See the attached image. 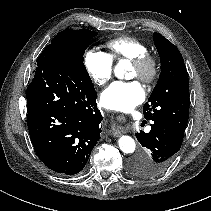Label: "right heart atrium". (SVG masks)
I'll return each instance as SVG.
<instances>
[{"mask_svg": "<svg viewBox=\"0 0 211 211\" xmlns=\"http://www.w3.org/2000/svg\"><path fill=\"white\" fill-rule=\"evenodd\" d=\"M84 64L91 80L98 86L108 83L112 77L113 61L108 54L92 48L84 54Z\"/></svg>", "mask_w": 211, "mask_h": 211, "instance_id": "d8ad5b80", "label": "right heart atrium"}]
</instances>
